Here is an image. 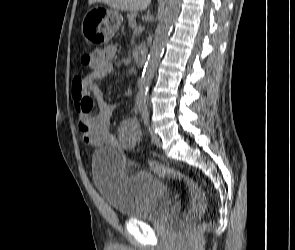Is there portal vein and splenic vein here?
Returning <instances> with one entry per match:
<instances>
[{"label":"portal vein and splenic vein","instance_id":"portal-vein-and-splenic-vein-1","mask_svg":"<svg viewBox=\"0 0 295 250\" xmlns=\"http://www.w3.org/2000/svg\"><path fill=\"white\" fill-rule=\"evenodd\" d=\"M136 21H134V22H132L131 24H130V26H132V27H136Z\"/></svg>","mask_w":295,"mask_h":250}]
</instances>
